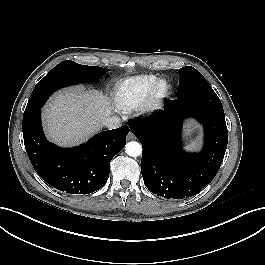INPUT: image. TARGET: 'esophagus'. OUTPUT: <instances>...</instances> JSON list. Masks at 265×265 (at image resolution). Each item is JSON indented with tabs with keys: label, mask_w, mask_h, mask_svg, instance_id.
Wrapping results in <instances>:
<instances>
[{
	"label": "esophagus",
	"mask_w": 265,
	"mask_h": 265,
	"mask_svg": "<svg viewBox=\"0 0 265 265\" xmlns=\"http://www.w3.org/2000/svg\"><path fill=\"white\" fill-rule=\"evenodd\" d=\"M128 139H129V140H133V139H135V135H134L133 133L130 132V133L128 134Z\"/></svg>",
	"instance_id": "esophagus-1"
}]
</instances>
